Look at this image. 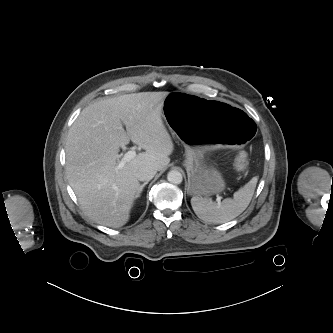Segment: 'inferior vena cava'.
<instances>
[{"instance_id":"602c4592","label":"inferior vena cava","mask_w":333,"mask_h":333,"mask_svg":"<svg viewBox=\"0 0 333 333\" xmlns=\"http://www.w3.org/2000/svg\"><path fill=\"white\" fill-rule=\"evenodd\" d=\"M157 173V169L151 166H142L136 172V178L139 181H150Z\"/></svg>"}]
</instances>
